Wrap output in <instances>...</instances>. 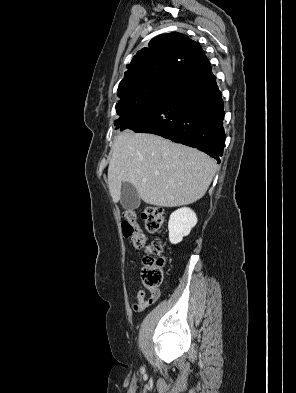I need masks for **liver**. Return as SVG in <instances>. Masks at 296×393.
Wrapping results in <instances>:
<instances>
[{
  "mask_svg": "<svg viewBox=\"0 0 296 393\" xmlns=\"http://www.w3.org/2000/svg\"><path fill=\"white\" fill-rule=\"evenodd\" d=\"M216 169V162L197 149L158 135L125 131L113 142L108 187L115 203L122 184L128 182L145 203L177 207L202 198Z\"/></svg>",
  "mask_w": 296,
  "mask_h": 393,
  "instance_id": "obj_1",
  "label": "liver"
}]
</instances>
